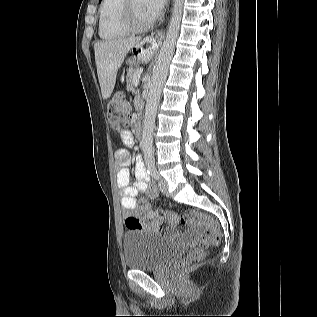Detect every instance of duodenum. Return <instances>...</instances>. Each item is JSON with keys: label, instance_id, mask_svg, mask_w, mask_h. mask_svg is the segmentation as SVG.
I'll list each match as a JSON object with an SVG mask.
<instances>
[{"label": "duodenum", "instance_id": "1", "mask_svg": "<svg viewBox=\"0 0 317 317\" xmlns=\"http://www.w3.org/2000/svg\"><path fill=\"white\" fill-rule=\"evenodd\" d=\"M135 130H136L137 137H141L142 136V126H141V124L137 123L135 125Z\"/></svg>", "mask_w": 317, "mask_h": 317}]
</instances>
